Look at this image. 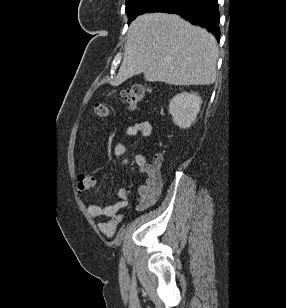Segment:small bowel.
<instances>
[{
  "mask_svg": "<svg viewBox=\"0 0 286 308\" xmlns=\"http://www.w3.org/2000/svg\"><path fill=\"white\" fill-rule=\"evenodd\" d=\"M153 133V125L148 121H142L129 126L125 132V139L115 147V155L121 157L128 149V142L136 135L150 137ZM135 163L140 169L141 176L145 177L144 182L139 186L136 208L143 211L153 206L159 199L163 180L159 172L160 157H157L151 164L148 162L147 155L138 152L135 155ZM118 201L111 205L92 204L87 207V212L95 218L106 217L108 220L98 223L99 231L107 237L113 236L118 224L122 221L119 211L127 206L128 191L126 188H118Z\"/></svg>",
  "mask_w": 286,
  "mask_h": 308,
  "instance_id": "1",
  "label": "small bowel"
}]
</instances>
